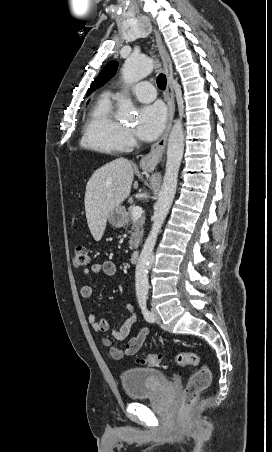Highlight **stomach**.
Segmentation results:
<instances>
[{
	"label": "stomach",
	"instance_id": "stomach-1",
	"mask_svg": "<svg viewBox=\"0 0 272 452\" xmlns=\"http://www.w3.org/2000/svg\"><path fill=\"white\" fill-rule=\"evenodd\" d=\"M126 211L121 205L115 207L108 215L109 223L116 228H120L125 224Z\"/></svg>",
	"mask_w": 272,
	"mask_h": 452
}]
</instances>
